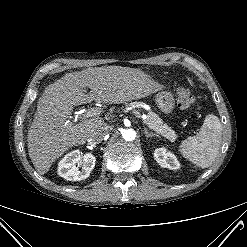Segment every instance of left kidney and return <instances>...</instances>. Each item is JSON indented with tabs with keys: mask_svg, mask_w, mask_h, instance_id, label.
Masks as SVG:
<instances>
[{
	"mask_svg": "<svg viewBox=\"0 0 247 247\" xmlns=\"http://www.w3.org/2000/svg\"><path fill=\"white\" fill-rule=\"evenodd\" d=\"M154 157L161 167L169 168L170 170H177L180 168V163L176 156L171 152H167L165 148L156 149Z\"/></svg>",
	"mask_w": 247,
	"mask_h": 247,
	"instance_id": "obj_1",
	"label": "left kidney"
}]
</instances>
